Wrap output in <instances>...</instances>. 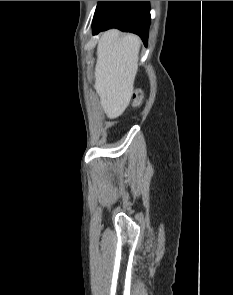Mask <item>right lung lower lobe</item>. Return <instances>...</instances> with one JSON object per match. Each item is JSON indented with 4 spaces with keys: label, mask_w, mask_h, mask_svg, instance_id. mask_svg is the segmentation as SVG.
I'll use <instances>...</instances> for the list:
<instances>
[{
    "label": "right lung lower lobe",
    "mask_w": 233,
    "mask_h": 295,
    "mask_svg": "<svg viewBox=\"0 0 233 295\" xmlns=\"http://www.w3.org/2000/svg\"><path fill=\"white\" fill-rule=\"evenodd\" d=\"M149 25V1H99L93 19V34L118 28L139 35L146 45Z\"/></svg>",
    "instance_id": "1"
}]
</instances>
